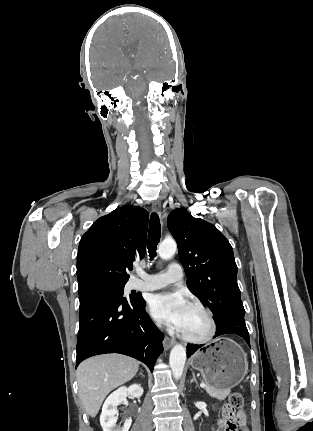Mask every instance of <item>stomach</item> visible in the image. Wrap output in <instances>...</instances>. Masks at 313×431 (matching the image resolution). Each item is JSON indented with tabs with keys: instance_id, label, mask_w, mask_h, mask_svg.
Wrapping results in <instances>:
<instances>
[{
	"instance_id": "0dacf381",
	"label": "stomach",
	"mask_w": 313,
	"mask_h": 431,
	"mask_svg": "<svg viewBox=\"0 0 313 431\" xmlns=\"http://www.w3.org/2000/svg\"><path fill=\"white\" fill-rule=\"evenodd\" d=\"M190 364L201 372L208 386L217 390L238 385L248 369L244 351L229 338H218L204 346L191 357Z\"/></svg>"
}]
</instances>
